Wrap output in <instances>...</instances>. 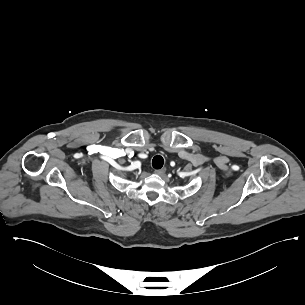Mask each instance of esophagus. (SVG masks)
Wrapping results in <instances>:
<instances>
[{
    "instance_id": "esophagus-1",
    "label": "esophagus",
    "mask_w": 305,
    "mask_h": 305,
    "mask_svg": "<svg viewBox=\"0 0 305 305\" xmlns=\"http://www.w3.org/2000/svg\"><path fill=\"white\" fill-rule=\"evenodd\" d=\"M166 172V168H162V169H157L154 171L155 174L157 175H163Z\"/></svg>"
}]
</instances>
